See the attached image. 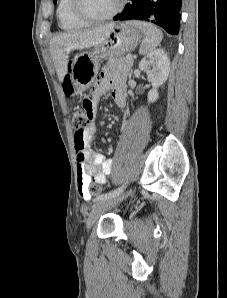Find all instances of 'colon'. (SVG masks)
I'll return each mask as SVG.
<instances>
[{"label":"colon","instance_id":"5ec220e1","mask_svg":"<svg viewBox=\"0 0 227 298\" xmlns=\"http://www.w3.org/2000/svg\"><path fill=\"white\" fill-rule=\"evenodd\" d=\"M64 89L67 94L73 93V86L69 79L65 80ZM83 104H92V103H83ZM95 115H86L82 109V106L76 108L72 114V123L75 128V149L78 153L80 159L84 158L85 150V140H84V131L89 126V117H94ZM87 191L90 195H98L101 192V188L96 185H89Z\"/></svg>","mask_w":227,"mask_h":298}]
</instances>
